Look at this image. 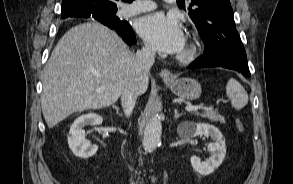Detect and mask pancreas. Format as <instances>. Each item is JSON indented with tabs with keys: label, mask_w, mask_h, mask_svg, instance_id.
<instances>
[{
	"label": "pancreas",
	"mask_w": 293,
	"mask_h": 184,
	"mask_svg": "<svg viewBox=\"0 0 293 184\" xmlns=\"http://www.w3.org/2000/svg\"><path fill=\"white\" fill-rule=\"evenodd\" d=\"M197 115H200L201 117H204V118H208L209 120L214 122H220V123L225 122V118L212 108L206 109L204 113L202 114L197 113Z\"/></svg>",
	"instance_id": "pancreas-1"
}]
</instances>
